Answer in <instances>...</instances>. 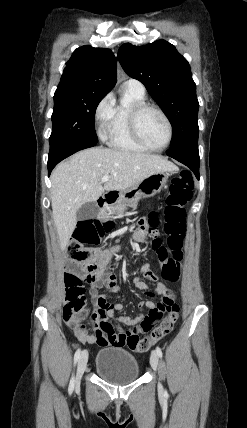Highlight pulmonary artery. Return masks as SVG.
Returning <instances> with one entry per match:
<instances>
[{
    "instance_id": "obj_1",
    "label": "pulmonary artery",
    "mask_w": 247,
    "mask_h": 428,
    "mask_svg": "<svg viewBox=\"0 0 247 428\" xmlns=\"http://www.w3.org/2000/svg\"><path fill=\"white\" fill-rule=\"evenodd\" d=\"M124 86L125 88L133 89L140 93H145L144 85L137 79L129 78L125 81Z\"/></svg>"
}]
</instances>
